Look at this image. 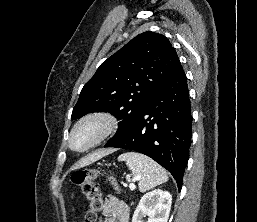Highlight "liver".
I'll list each match as a JSON object with an SVG mask.
<instances>
[{"instance_id": "6515ba94", "label": "liver", "mask_w": 257, "mask_h": 222, "mask_svg": "<svg viewBox=\"0 0 257 222\" xmlns=\"http://www.w3.org/2000/svg\"><path fill=\"white\" fill-rule=\"evenodd\" d=\"M111 152H112V150H103V151L96 152L92 155H89V156L85 157L84 159H82L81 161H79V163L75 167H73V169L86 166V165L102 158L103 156L110 154Z\"/></svg>"}]
</instances>
